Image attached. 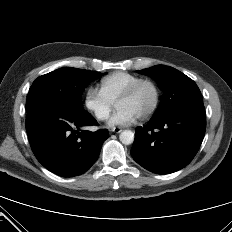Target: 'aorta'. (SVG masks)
Listing matches in <instances>:
<instances>
[{
    "label": "aorta",
    "instance_id": "1",
    "mask_svg": "<svg viewBox=\"0 0 232 232\" xmlns=\"http://www.w3.org/2000/svg\"><path fill=\"white\" fill-rule=\"evenodd\" d=\"M119 139L122 144L130 145L134 141V133L131 130H124L120 133Z\"/></svg>",
    "mask_w": 232,
    "mask_h": 232
}]
</instances>
